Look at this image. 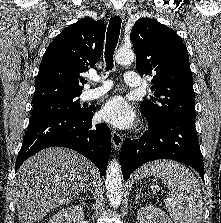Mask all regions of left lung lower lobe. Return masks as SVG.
<instances>
[{"mask_svg": "<svg viewBox=\"0 0 221 223\" xmlns=\"http://www.w3.org/2000/svg\"><path fill=\"white\" fill-rule=\"evenodd\" d=\"M148 128L139 139L123 143L120 162L125 180L146 162L172 159L193 167L204 181L195 118L174 116L160 124L148 122Z\"/></svg>", "mask_w": 221, "mask_h": 223, "instance_id": "0a47b994", "label": "left lung lower lobe"}]
</instances>
